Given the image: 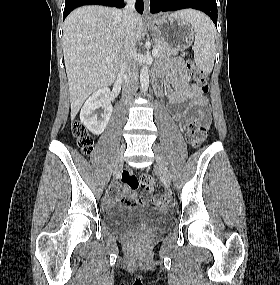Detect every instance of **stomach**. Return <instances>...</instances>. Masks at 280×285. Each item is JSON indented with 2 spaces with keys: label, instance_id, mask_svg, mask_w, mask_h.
<instances>
[{
  "label": "stomach",
  "instance_id": "stomach-1",
  "mask_svg": "<svg viewBox=\"0 0 280 285\" xmlns=\"http://www.w3.org/2000/svg\"><path fill=\"white\" fill-rule=\"evenodd\" d=\"M149 28L166 44L185 49L193 43L194 33L189 23L172 15L157 17L148 23Z\"/></svg>",
  "mask_w": 280,
  "mask_h": 285
}]
</instances>
